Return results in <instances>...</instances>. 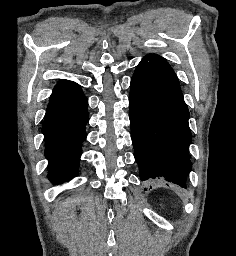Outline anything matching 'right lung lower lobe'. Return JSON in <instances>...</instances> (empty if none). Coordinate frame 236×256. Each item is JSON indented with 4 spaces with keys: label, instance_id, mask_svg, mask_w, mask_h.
I'll return each mask as SVG.
<instances>
[{
    "label": "right lung lower lobe",
    "instance_id": "right-lung-lower-lobe-1",
    "mask_svg": "<svg viewBox=\"0 0 236 256\" xmlns=\"http://www.w3.org/2000/svg\"><path fill=\"white\" fill-rule=\"evenodd\" d=\"M88 122L87 98L78 84L50 99L42 127L48 178L54 184L77 175Z\"/></svg>",
    "mask_w": 236,
    "mask_h": 256
}]
</instances>
